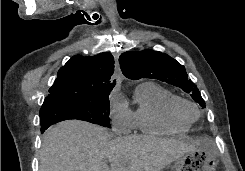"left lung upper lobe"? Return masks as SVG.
<instances>
[{"label": "left lung upper lobe", "mask_w": 245, "mask_h": 171, "mask_svg": "<svg viewBox=\"0 0 245 171\" xmlns=\"http://www.w3.org/2000/svg\"><path fill=\"white\" fill-rule=\"evenodd\" d=\"M122 73L129 79L151 78L181 88L203 108L205 102L197 86L188 79L186 70L179 62L157 51L125 52L119 57Z\"/></svg>", "instance_id": "1"}]
</instances>
